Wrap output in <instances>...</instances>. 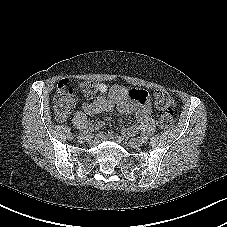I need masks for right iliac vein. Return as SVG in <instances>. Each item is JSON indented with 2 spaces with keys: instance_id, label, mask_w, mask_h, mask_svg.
Masks as SVG:
<instances>
[{
  "instance_id": "63e3f726",
  "label": "right iliac vein",
  "mask_w": 227,
  "mask_h": 227,
  "mask_svg": "<svg viewBox=\"0 0 227 227\" xmlns=\"http://www.w3.org/2000/svg\"><path fill=\"white\" fill-rule=\"evenodd\" d=\"M90 126L87 127V129L85 131H83L82 133L79 134V138L81 140H89L92 138L93 136V131L90 130L89 128Z\"/></svg>"
}]
</instances>
